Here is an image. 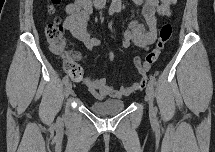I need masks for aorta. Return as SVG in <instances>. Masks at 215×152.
<instances>
[{
  "instance_id": "obj_1",
  "label": "aorta",
  "mask_w": 215,
  "mask_h": 152,
  "mask_svg": "<svg viewBox=\"0 0 215 152\" xmlns=\"http://www.w3.org/2000/svg\"><path fill=\"white\" fill-rule=\"evenodd\" d=\"M111 7L118 9L121 7V0H112Z\"/></svg>"
}]
</instances>
